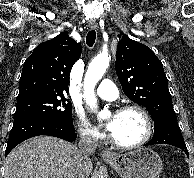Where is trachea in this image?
<instances>
[{
    "label": "trachea",
    "instance_id": "3493384b",
    "mask_svg": "<svg viewBox=\"0 0 194 178\" xmlns=\"http://www.w3.org/2000/svg\"><path fill=\"white\" fill-rule=\"evenodd\" d=\"M96 40V32L95 30H90L86 36V43L89 47H92Z\"/></svg>",
    "mask_w": 194,
    "mask_h": 178
}]
</instances>
